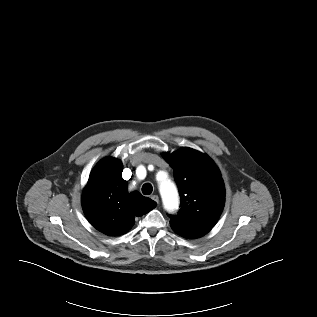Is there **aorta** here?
Segmentation results:
<instances>
[{
    "label": "aorta",
    "instance_id": "aorta-1",
    "mask_svg": "<svg viewBox=\"0 0 317 317\" xmlns=\"http://www.w3.org/2000/svg\"><path fill=\"white\" fill-rule=\"evenodd\" d=\"M160 177L159 189L163 199V203L167 210H174L179 205V196L175 184L169 179L168 173L160 171L158 173Z\"/></svg>",
    "mask_w": 317,
    "mask_h": 317
}]
</instances>
